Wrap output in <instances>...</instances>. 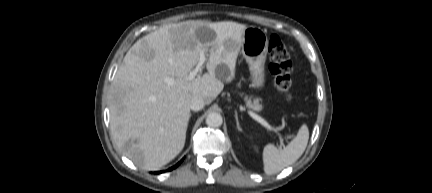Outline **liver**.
Here are the masks:
<instances>
[{"label":"liver","instance_id":"liver-1","mask_svg":"<svg viewBox=\"0 0 432 193\" xmlns=\"http://www.w3.org/2000/svg\"><path fill=\"white\" fill-rule=\"evenodd\" d=\"M246 25L188 20L160 27L126 53L110 91V129L117 147L135 165L158 170L183 149L191 99L210 104L235 76ZM214 37L202 41V31ZM209 53L207 73L189 80L200 52ZM227 72L216 76L218 67ZM166 78L174 79L169 85Z\"/></svg>","mask_w":432,"mask_h":193}]
</instances>
